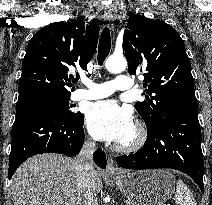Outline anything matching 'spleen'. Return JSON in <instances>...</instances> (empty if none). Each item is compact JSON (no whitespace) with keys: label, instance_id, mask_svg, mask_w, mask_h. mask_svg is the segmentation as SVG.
Returning <instances> with one entry per match:
<instances>
[{"label":"spleen","instance_id":"obj_1","mask_svg":"<svg viewBox=\"0 0 212 205\" xmlns=\"http://www.w3.org/2000/svg\"><path fill=\"white\" fill-rule=\"evenodd\" d=\"M174 200L177 205H197L194 196L182 180H178Z\"/></svg>","mask_w":212,"mask_h":205}]
</instances>
